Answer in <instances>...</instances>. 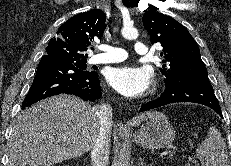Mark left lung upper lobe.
Segmentation results:
<instances>
[{
  "instance_id": "5c2ea615",
  "label": "left lung upper lobe",
  "mask_w": 231,
  "mask_h": 166,
  "mask_svg": "<svg viewBox=\"0 0 231 166\" xmlns=\"http://www.w3.org/2000/svg\"><path fill=\"white\" fill-rule=\"evenodd\" d=\"M143 25L151 43L163 46L161 56L167 65H162L160 71L165 77L166 87L184 80L209 81L199 47L183 25L156 11L145 12Z\"/></svg>"
}]
</instances>
